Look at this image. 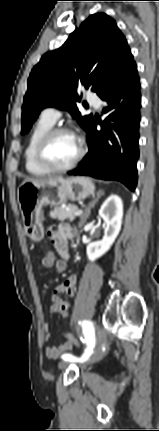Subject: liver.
Returning a JSON list of instances; mask_svg holds the SVG:
<instances>
[{"instance_id":"obj_1","label":"liver","mask_w":159,"mask_h":431,"mask_svg":"<svg viewBox=\"0 0 159 431\" xmlns=\"http://www.w3.org/2000/svg\"><path fill=\"white\" fill-rule=\"evenodd\" d=\"M53 179H56V178H27L24 180V182H30L33 184H43V183L49 182Z\"/></svg>"}]
</instances>
